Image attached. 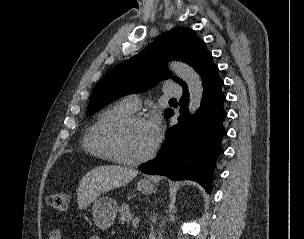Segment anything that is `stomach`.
I'll return each mask as SVG.
<instances>
[{
  "label": "stomach",
  "mask_w": 304,
  "mask_h": 239,
  "mask_svg": "<svg viewBox=\"0 0 304 239\" xmlns=\"http://www.w3.org/2000/svg\"><path fill=\"white\" fill-rule=\"evenodd\" d=\"M137 189L143 194H151L154 191L153 184L148 180L138 182ZM118 211L117 202L109 197L96 199L92 206V218L96 226L102 230L108 229L114 222Z\"/></svg>",
  "instance_id": "stomach-1"
}]
</instances>
